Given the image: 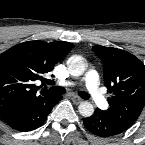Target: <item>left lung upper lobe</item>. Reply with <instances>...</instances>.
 I'll return each mask as SVG.
<instances>
[{"instance_id": "obj_1", "label": "left lung upper lobe", "mask_w": 145, "mask_h": 145, "mask_svg": "<svg viewBox=\"0 0 145 145\" xmlns=\"http://www.w3.org/2000/svg\"><path fill=\"white\" fill-rule=\"evenodd\" d=\"M94 52L102 60L104 83L113 95L105 115L124 129L138 119L145 105V66L131 53L96 45Z\"/></svg>"}]
</instances>
